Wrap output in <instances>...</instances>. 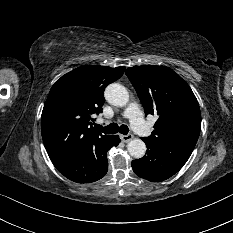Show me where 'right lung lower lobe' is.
Here are the masks:
<instances>
[{
    "label": "right lung lower lobe",
    "instance_id": "1",
    "mask_svg": "<svg viewBox=\"0 0 233 233\" xmlns=\"http://www.w3.org/2000/svg\"><path fill=\"white\" fill-rule=\"evenodd\" d=\"M120 143L118 135H112L104 143L86 149L72 156L53 161L57 170L77 183L94 182L108 171L107 151Z\"/></svg>",
    "mask_w": 233,
    "mask_h": 233
}]
</instances>
